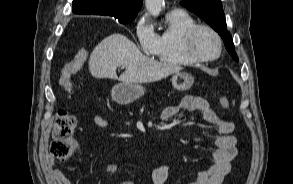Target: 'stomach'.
<instances>
[{
	"mask_svg": "<svg viewBox=\"0 0 293 184\" xmlns=\"http://www.w3.org/2000/svg\"><path fill=\"white\" fill-rule=\"evenodd\" d=\"M172 85L178 91L190 89L194 83L192 75L178 72L172 76ZM145 93V88L139 83L122 82L115 85L111 91L112 98L119 104H129Z\"/></svg>",
	"mask_w": 293,
	"mask_h": 184,
	"instance_id": "1",
	"label": "stomach"
}]
</instances>
